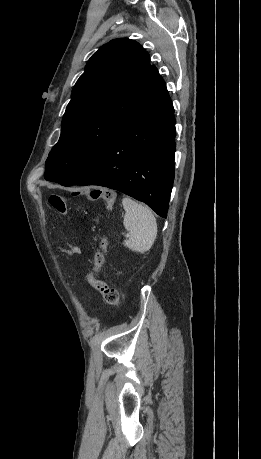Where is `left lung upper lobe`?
I'll return each instance as SVG.
<instances>
[{
  "label": "left lung upper lobe",
  "instance_id": "left-lung-upper-lobe-1",
  "mask_svg": "<svg viewBox=\"0 0 261 459\" xmlns=\"http://www.w3.org/2000/svg\"><path fill=\"white\" fill-rule=\"evenodd\" d=\"M162 82L136 41L121 38L103 45L73 88L45 179L61 183L88 164Z\"/></svg>",
  "mask_w": 261,
  "mask_h": 459
}]
</instances>
